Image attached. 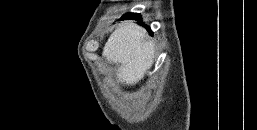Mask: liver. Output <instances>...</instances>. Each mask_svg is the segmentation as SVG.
Returning <instances> with one entry per match:
<instances>
[{
	"label": "liver",
	"instance_id": "6515ba94",
	"mask_svg": "<svg viewBox=\"0 0 257 130\" xmlns=\"http://www.w3.org/2000/svg\"><path fill=\"white\" fill-rule=\"evenodd\" d=\"M146 30L133 21L119 24L103 48V57L119 65L118 81L134 85L144 78L154 60L155 45L146 39Z\"/></svg>",
	"mask_w": 257,
	"mask_h": 130
}]
</instances>
